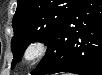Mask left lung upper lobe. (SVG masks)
<instances>
[{"label":"left lung upper lobe","mask_w":102,"mask_h":75,"mask_svg":"<svg viewBox=\"0 0 102 75\" xmlns=\"http://www.w3.org/2000/svg\"><path fill=\"white\" fill-rule=\"evenodd\" d=\"M81 0H18L12 20L14 36L12 68L20 60L29 43H48L60 24Z\"/></svg>","instance_id":"obj_1"}]
</instances>
